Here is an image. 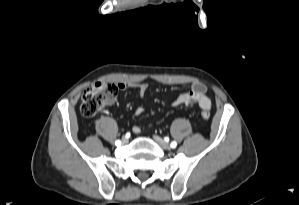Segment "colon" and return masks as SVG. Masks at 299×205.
<instances>
[{
	"label": "colon",
	"mask_w": 299,
	"mask_h": 205,
	"mask_svg": "<svg viewBox=\"0 0 299 205\" xmlns=\"http://www.w3.org/2000/svg\"><path fill=\"white\" fill-rule=\"evenodd\" d=\"M118 86L113 83H94L90 85L82 96L81 113L85 117H93L102 109L111 105L117 96ZM201 116L210 119V112L202 110Z\"/></svg>",
	"instance_id": "obj_1"
}]
</instances>
